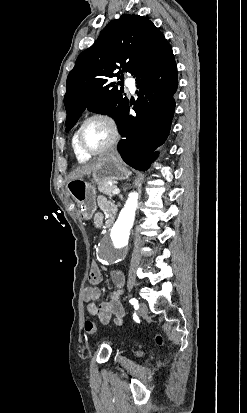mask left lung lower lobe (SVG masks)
Segmentation results:
<instances>
[{
    "label": "left lung lower lobe",
    "mask_w": 247,
    "mask_h": 413,
    "mask_svg": "<svg viewBox=\"0 0 247 413\" xmlns=\"http://www.w3.org/2000/svg\"><path fill=\"white\" fill-rule=\"evenodd\" d=\"M140 96L133 104L136 117L129 115L119 127L122 139L118 151L130 166L145 170L156 158L171 128L178 86L177 66L170 47L161 50L136 77Z\"/></svg>",
    "instance_id": "1"
}]
</instances>
